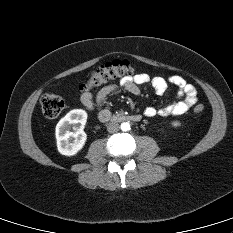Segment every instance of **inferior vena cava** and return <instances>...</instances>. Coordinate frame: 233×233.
<instances>
[{
    "mask_svg": "<svg viewBox=\"0 0 233 233\" xmlns=\"http://www.w3.org/2000/svg\"><path fill=\"white\" fill-rule=\"evenodd\" d=\"M120 129V126L118 123L116 122H111V123H108L107 124V131L109 133H115V132H118Z\"/></svg>",
    "mask_w": 233,
    "mask_h": 233,
    "instance_id": "obj_1",
    "label": "inferior vena cava"
}]
</instances>
